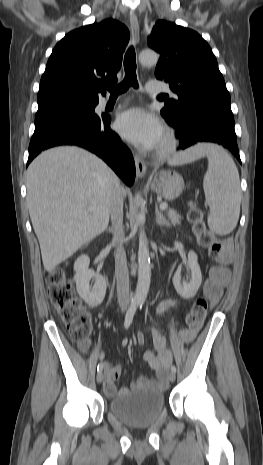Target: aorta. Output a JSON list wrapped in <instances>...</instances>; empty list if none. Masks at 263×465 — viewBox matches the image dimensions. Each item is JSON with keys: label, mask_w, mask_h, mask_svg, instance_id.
<instances>
[{"label": "aorta", "mask_w": 263, "mask_h": 465, "mask_svg": "<svg viewBox=\"0 0 263 465\" xmlns=\"http://www.w3.org/2000/svg\"><path fill=\"white\" fill-rule=\"evenodd\" d=\"M159 56L156 52L151 50L142 51L139 55V61L144 66H154L157 64ZM143 199L137 194L135 202L140 205ZM142 220L141 213L137 216V221L140 223ZM151 280V266L149 248L146 239L145 230L140 229L139 232V249H138V282L134 295V301L137 303H144L149 291Z\"/></svg>", "instance_id": "obj_1"}]
</instances>
